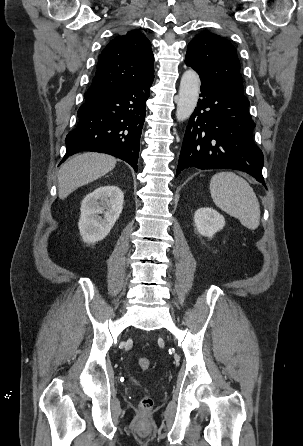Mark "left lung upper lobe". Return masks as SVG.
Here are the masks:
<instances>
[{
    "label": "left lung upper lobe",
    "mask_w": 303,
    "mask_h": 446,
    "mask_svg": "<svg viewBox=\"0 0 303 446\" xmlns=\"http://www.w3.org/2000/svg\"><path fill=\"white\" fill-rule=\"evenodd\" d=\"M185 63L196 70L201 78L220 83L247 99L236 48L225 38L207 31L201 32L188 44Z\"/></svg>",
    "instance_id": "left-lung-upper-lobe-1"
}]
</instances>
